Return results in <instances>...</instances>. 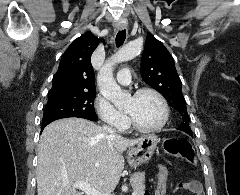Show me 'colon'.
<instances>
[{
  "label": "colon",
  "instance_id": "5ec220e1",
  "mask_svg": "<svg viewBox=\"0 0 240 195\" xmlns=\"http://www.w3.org/2000/svg\"><path fill=\"white\" fill-rule=\"evenodd\" d=\"M164 151L172 156L186 159L192 166L197 165V159L191 144L186 139H172L164 142ZM170 169L165 166L158 167V182L156 195H164L167 192V174ZM188 190L194 195H203L202 186L195 181L188 182Z\"/></svg>",
  "mask_w": 240,
  "mask_h": 195
}]
</instances>
